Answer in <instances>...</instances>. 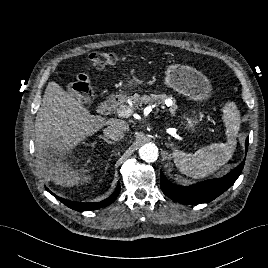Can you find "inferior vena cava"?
Masks as SVG:
<instances>
[{"label":"inferior vena cava","mask_w":268,"mask_h":268,"mask_svg":"<svg viewBox=\"0 0 268 268\" xmlns=\"http://www.w3.org/2000/svg\"><path fill=\"white\" fill-rule=\"evenodd\" d=\"M126 129L119 124H112L103 130L104 136L112 140H121L124 137Z\"/></svg>","instance_id":"inferior-vena-cava-1"}]
</instances>
